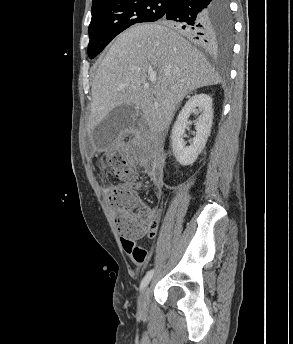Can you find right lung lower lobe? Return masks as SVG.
Listing matches in <instances>:
<instances>
[{"label":"right lung lower lobe","mask_w":293,"mask_h":344,"mask_svg":"<svg viewBox=\"0 0 293 344\" xmlns=\"http://www.w3.org/2000/svg\"><path fill=\"white\" fill-rule=\"evenodd\" d=\"M217 0H170L162 20L174 26L197 44L211 48L215 44L213 16Z\"/></svg>","instance_id":"right-lung-lower-lobe-1"}]
</instances>
